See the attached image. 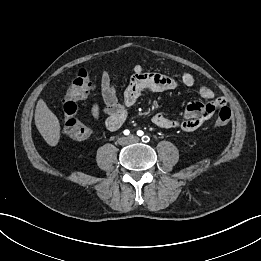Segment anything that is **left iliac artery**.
Here are the masks:
<instances>
[{"instance_id": "1", "label": "left iliac artery", "mask_w": 261, "mask_h": 261, "mask_svg": "<svg viewBox=\"0 0 261 261\" xmlns=\"http://www.w3.org/2000/svg\"><path fill=\"white\" fill-rule=\"evenodd\" d=\"M143 134H144L143 131H141V130H138V131H137V135H138V136H142ZM142 141H143V142H149V141H150V138H149L148 136H143V137H142Z\"/></svg>"}]
</instances>
